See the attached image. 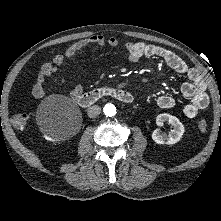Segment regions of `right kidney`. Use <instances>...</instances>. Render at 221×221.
I'll list each match as a JSON object with an SVG mask.
<instances>
[{
  "mask_svg": "<svg viewBox=\"0 0 221 221\" xmlns=\"http://www.w3.org/2000/svg\"><path fill=\"white\" fill-rule=\"evenodd\" d=\"M45 139L48 141H57L58 136L53 132H48L44 135Z\"/></svg>",
  "mask_w": 221,
  "mask_h": 221,
  "instance_id": "1",
  "label": "right kidney"
}]
</instances>
